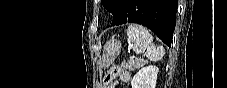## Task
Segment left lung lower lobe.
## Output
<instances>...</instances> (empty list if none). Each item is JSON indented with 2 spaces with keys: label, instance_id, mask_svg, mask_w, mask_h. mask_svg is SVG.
<instances>
[{
  "label": "left lung lower lobe",
  "instance_id": "obj_1",
  "mask_svg": "<svg viewBox=\"0 0 227 88\" xmlns=\"http://www.w3.org/2000/svg\"><path fill=\"white\" fill-rule=\"evenodd\" d=\"M177 7L178 0H119L111 25L141 24L170 47Z\"/></svg>",
  "mask_w": 227,
  "mask_h": 88
}]
</instances>
